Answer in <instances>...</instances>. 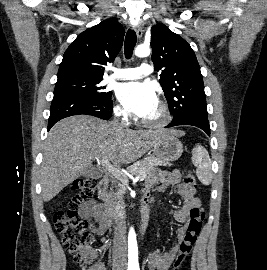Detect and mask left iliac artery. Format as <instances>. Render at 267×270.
<instances>
[{"mask_svg":"<svg viewBox=\"0 0 267 270\" xmlns=\"http://www.w3.org/2000/svg\"><path fill=\"white\" fill-rule=\"evenodd\" d=\"M133 270H140L139 265L138 264L134 265Z\"/></svg>","mask_w":267,"mask_h":270,"instance_id":"obj_1","label":"left iliac artery"}]
</instances>
